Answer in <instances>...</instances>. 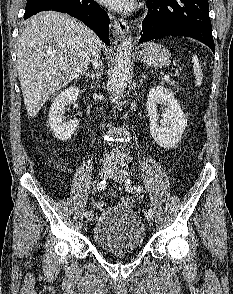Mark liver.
Returning <instances> with one entry per match:
<instances>
[{
  "instance_id": "obj_1",
  "label": "liver",
  "mask_w": 233,
  "mask_h": 294,
  "mask_svg": "<svg viewBox=\"0 0 233 294\" xmlns=\"http://www.w3.org/2000/svg\"><path fill=\"white\" fill-rule=\"evenodd\" d=\"M102 42L69 15L41 12L31 17L18 43L17 71L27 113L42 105L88 69Z\"/></svg>"
}]
</instances>
